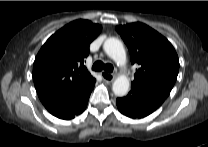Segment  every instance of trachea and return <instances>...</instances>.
Masks as SVG:
<instances>
[{
    "label": "trachea",
    "instance_id": "1",
    "mask_svg": "<svg viewBox=\"0 0 208 147\" xmlns=\"http://www.w3.org/2000/svg\"><path fill=\"white\" fill-rule=\"evenodd\" d=\"M113 65L110 63L104 64L102 61H96L93 66H92V70L94 71H106V72H113Z\"/></svg>",
    "mask_w": 208,
    "mask_h": 147
}]
</instances>
